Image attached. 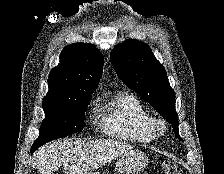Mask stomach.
Instances as JSON below:
<instances>
[{
    "instance_id": "obj_1",
    "label": "stomach",
    "mask_w": 224,
    "mask_h": 174,
    "mask_svg": "<svg viewBox=\"0 0 224 174\" xmlns=\"http://www.w3.org/2000/svg\"><path fill=\"white\" fill-rule=\"evenodd\" d=\"M148 158L145 153L138 150H131L124 153L116 163L118 174H135L145 168ZM88 174H100L91 171Z\"/></svg>"
}]
</instances>
